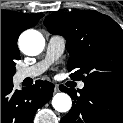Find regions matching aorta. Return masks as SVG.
<instances>
[{"instance_id": "1", "label": "aorta", "mask_w": 123, "mask_h": 123, "mask_svg": "<svg viewBox=\"0 0 123 123\" xmlns=\"http://www.w3.org/2000/svg\"><path fill=\"white\" fill-rule=\"evenodd\" d=\"M44 45V37L36 30H28L20 37V47L26 55H38L42 52ZM52 106L58 112H68L72 107V100L66 93H57L52 99Z\"/></svg>"}]
</instances>
